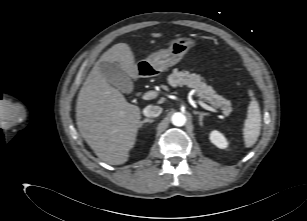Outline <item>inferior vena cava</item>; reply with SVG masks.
<instances>
[{"instance_id": "obj_1", "label": "inferior vena cava", "mask_w": 307, "mask_h": 221, "mask_svg": "<svg viewBox=\"0 0 307 221\" xmlns=\"http://www.w3.org/2000/svg\"><path fill=\"white\" fill-rule=\"evenodd\" d=\"M162 113V108L156 105H148L143 109V114L146 117L155 118Z\"/></svg>"}]
</instances>
